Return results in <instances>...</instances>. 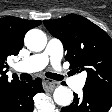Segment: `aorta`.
I'll use <instances>...</instances> for the list:
<instances>
[{
  "label": "aorta",
  "instance_id": "1",
  "mask_svg": "<svg viewBox=\"0 0 112 112\" xmlns=\"http://www.w3.org/2000/svg\"><path fill=\"white\" fill-rule=\"evenodd\" d=\"M24 41L29 50L39 52L45 48L47 37L43 31L31 29L26 33ZM53 98L56 104L66 107L72 103L73 93L66 86H58L53 93Z\"/></svg>",
  "mask_w": 112,
  "mask_h": 112
}]
</instances>
